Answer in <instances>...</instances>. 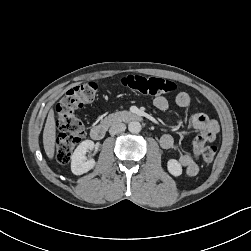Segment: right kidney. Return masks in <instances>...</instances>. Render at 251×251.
<instances>
[{
    "instance_id": "right-kidney-1",
    "label": "right kidney",
    "mask_w": 251,
    "mask_h": 251,
    "mask_svg": "<svg viewBox=\"0 0 251 251\" xmlns=\"http://www.w3.org/2000/svg\"><path fill=\"white\" fill-rule=\"evenodd\" d=\"M94 142L92 140H85L81 142L75 149L71 156V171L75 175H82L87 173L95 166V160L90 159L86 161V152L93 150Z\"/></svg>"
}]
</instances>
